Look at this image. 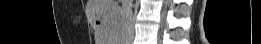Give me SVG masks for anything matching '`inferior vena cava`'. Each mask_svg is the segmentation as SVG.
Instances as JSON below:
<instances>
[{
	"instance_id": "602c4592",
	"label": "inferior vena cava",
	"mask_w": 261,
	"mask_h": 44,
	"mask_svg": "<svg viewBox=\"0 0 261 44\" xmlns=\"http://www.w3.org/2000/svg\"><path fill=\"white\" fill-rule=\"evenodd\" d=\"M133 37V23H132V8L131 0H128V5L125 8V22H124V39L129 40Z\"/></svg>"
}]
</instances>
